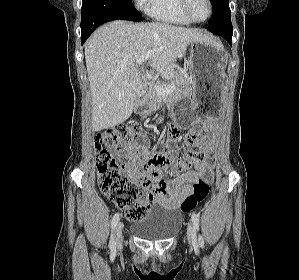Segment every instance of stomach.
I'll return each mask as SVG.
<instances>
[{
    "instance_id": "stomach-1",
    "label": "stomach",
    "mask_w": 299,
    "mask_h": 280,
    "mask_svg": "<svg viewBox=\"0 0 299 280\" xmlns=\"http://www.w3.org/2000/svg\"><path fill=\"white\" fill-rule=\"evenodd\" d=\"M228 62V52L213 39L190 43L188 75L190 94L179 102L177 121L183 128L201 116H217L223 109L225 100L224 70ZM151 108H142L139 113L148 115Z\"/></svg>"
}]
</instances>
